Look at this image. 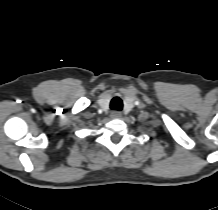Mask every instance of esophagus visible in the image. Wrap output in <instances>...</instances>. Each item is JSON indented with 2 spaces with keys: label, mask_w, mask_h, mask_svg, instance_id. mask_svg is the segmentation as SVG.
I'll return each mask as SVG.
<instances>
[{
  "label": "esophagus",
  "mask_w": 218,
  "mask_h": 210,
  "mask_svg": "<svg viewBox=\"0 0 218 210\" xmlns=\"http://www.w3.org/2000/svg\"><path fill=\"white\" fill-rule=\"evenodd\" d=\"M111 116H112L113 118H118V117L121 116V113L118 112V111H113V112L111 113Z\"/></svg>",
  "instance_id": "obj_1"
}]
</instances>
